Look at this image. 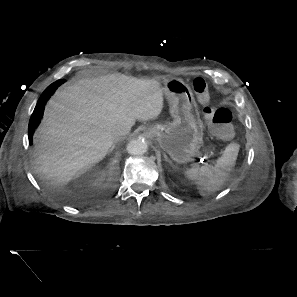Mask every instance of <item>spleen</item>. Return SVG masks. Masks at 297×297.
I'll list each match as a JSON object with an SVG mask.
<instances>
[{
  "label": "spleen",
  "instance_id": "obj_1",
  "mask_svg": "<svg viewBox=\"0 0 297 297\" xmlns=\"http://www.w3.org/2000/svg\"><path fill=\"white\" fill-rule=\"evenodd\" d=\"M239 145L229 144L214 166H203L200 169L190 168L184 172L186 178L193 181L202 196L219 190L228 180L235 165Z\"/></svg>",
  "mask_w": 297,
  "mask_h": 297
}]
</instances>
